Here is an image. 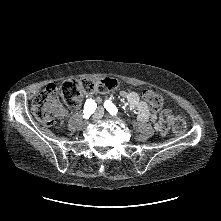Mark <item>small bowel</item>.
Returning <instances> with one entry per match:
<instances>
[{
    "label": "small bowel",
    "instance_id": "c3829d8e",
    "mask_svg": "<svg viewBox=\"0 0 221 221\" xmlns=\"http://www.w3.org/2000/svg\"><path fill=\"white\" fill-rule=\"evenodd\" d=\"M121 96L126 99L129 107L137 113L138 119L141 122H146L150 119V112L147 105L139 99L135 92L122 91ZM95 100L100 102L101 98L95 97ZM152 121L154 122V127L158 132L161 133L162 131H167V124L162 125L157 116L154 115L152 117Z\"/></svg>",
    "mask_w": 221,
    "mask_h": 221
}]
</instances>
